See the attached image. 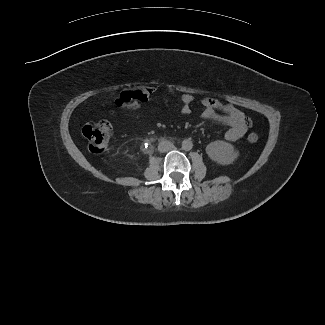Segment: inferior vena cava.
<instances>
[{
  "instance_id": "602c4592",
  "label": "inferior vena cava",
  "mask_w": 325,
  "mask_h": 325,
  "mask_svg": "<svg viewBox=\"0 0 325 325\" xmlns=\"http://www.w3.org/2000/svg\"><path fill=\"white\" fill-rule=\"evenodd\" d=\"M174 148V144L168 140L161 141L158 145V150L162 153L168 152Z\"/></svg>"
}]
</instances>
